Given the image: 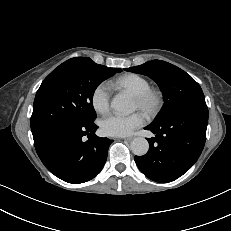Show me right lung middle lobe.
<instances>
[{
    "mask_svg": "<svg viewBox=\"0 0 231 231\" xmlns=\"http://www.w3.org/2000/svg\"><path fill=\"white\" fill-rule=\"evenodd\" d=\"M121 72L96 64L90 58H72L59 65L38 89L31 130L34 141H43L60 127L88 124L96 118L92 99L97 86L105 79Z\"/></svg>",
    "mask_w": 231,
    "mask_h": 231,
    "instance_id": "dd1d6c3e",
    "label": "right lung middle lobe"
}]
</instances>
